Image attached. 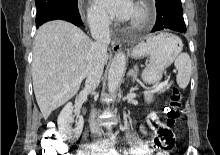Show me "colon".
I'll return each instance as SVG.
<instances>
[{"instance_id":"colon-1","label":"colon","mask_w":220,"mask_h":155,"mask_svg":"<svg viewBox=\"0 0 220 155\" xmlns=\"http://www.w3.org/2000/svg\"><path fill=\"white\" fill-rule=\"evenodd\" d=\"M182 106V96L177 87L172 89L168 106L165 110L166 124H158L155 126V138L151 141V151L155 155H170V151L174 146V136L171 132L179 116ZM41 148H44L43 155H67L63 143L54 133H46Z\"/></svg>"}]
</instances>
